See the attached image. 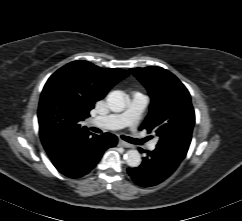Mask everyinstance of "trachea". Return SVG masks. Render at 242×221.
<instances>
[{
  "mask_svg": "<svg viewBox=\"0 0 242 221\" xmlns=\"http://www.w3.org/2000/svg\"><path fill=\"white\" fill-rule=\"evenodd\" d=\"M90 130H92L93 132H96V133H101L102 131L98 128H95V127H91ZM121 138L129 143H132V144H142L144 142H146L147 140H149V137H146L144 139H135V138H131V137H127V136H121Z\"/></svg>",
  "mask_w": 242,
  "mask_h": 221,
  "instance_id": "1",
  "label": "trachea"
}]
</instances>
